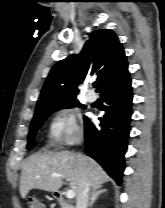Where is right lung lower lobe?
<instances>
[{"mask_svg": "<svg viewBox=\"0 0 165 208\" xmlns=\"http://www.w3.org/2000/svg\"><path fill=\"white\" fill-rule=\"evenodd\" d=\"M105 114L95 127L85 118V152L118 183L122 181L124 155L132 115V87L129 72L101 92Z\"/></svg>", "mask_w": 165, "mask_h": 208, "instance_id": "1", "label": "right lung lower lobe"}]
</instances>
